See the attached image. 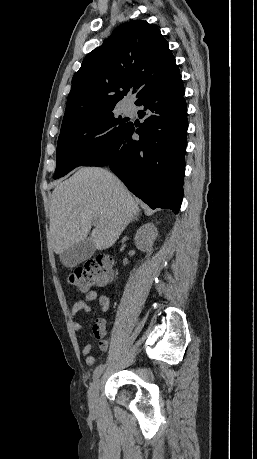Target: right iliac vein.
Segmentation results:
<instances>
[{
  "label": "right iliac vein",
  "instance_id": "obj_1",
  "mask_svg": "<svg viewBox=\"0 0 257 459\" xmlns=\"http://www.w3.org/2000/svg\"><path fill=\"white\" fill-rule=\"evenodd\" d=\"M99 388L100 380L96 379L88 390V403L91 409H94L97 406Z\"/></svg>",
  "mask_w": 257,
  "mask_h": 459
}]
</instances>
